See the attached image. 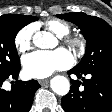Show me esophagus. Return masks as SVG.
<instances>
[{
  "label": "esophagus",
  "mask_w": 112,
  "mask_h": 112,
  "mask_svg": "<svg viewBox=\"0 0 112 112\" xmlns=\"http://www.w3.org/2000/svg\"><path fill=\"white\" fill-rule=\"evenodd\" d=\"M48 82H49V79H42V80H39V84H40L41 86H44V85L48 84Z\"/></svg>",
  "instance_id": "1"
}]
</instances>
